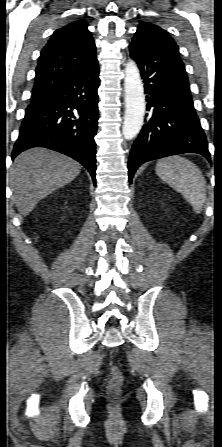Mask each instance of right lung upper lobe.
Here are the masks:
<instances>
[{
    "label": "right lung upper lobe",
    "instance_id": "cb5924a9",
    "mask_svg": "<svg viewBox=\"0 0 222 447\" xmlns=\"http://www.w3.org/2000/svg\"><path fill=\"white\" fill-rule=\"evenodd\" d=\"M87 27L86 21L78 20L52 34L39 57L32 101L48 96L97 60Z\"/></svg>",
    "mask_w": 222,
    "mask_h": 447
}]
</instances>
